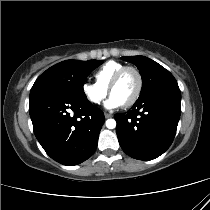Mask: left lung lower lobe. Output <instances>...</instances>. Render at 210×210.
<instances>
[{
  "mask_svg": "<svg viewBox=\"0 0 210 210\" xmlns=\"http://www.w3.org/2000/svg\"><path fill=\"white\" fill-rule=\"evenodd\" d=\"M181 113L178 84L163 86L140 97L127 113L114 115L123 151L138 160H152L171 145Z\"/></svg>",
  "mask_w": 210,
  "mask_h": 210,
  "instance_id": "left-lung-lower-lobe-1",
  "label": "left lung lower lobe"
}]
</instances>
